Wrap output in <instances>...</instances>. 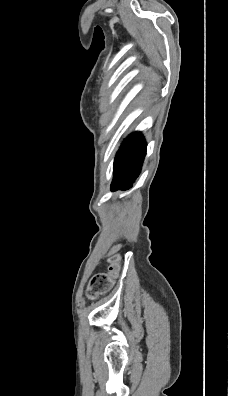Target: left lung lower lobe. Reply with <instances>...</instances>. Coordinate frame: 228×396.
I'll return each instance as SVG.
<instances>
[{
  "label": "left lung lower lobe",
  "instance_id": "left-lung-lower-lobe-1",
  "mask_svg": "<svg viewBox=\"0 0 228 396\" xmlns=\"http://www.w3.org/2000/svg\"><path fill=\"white\" fill-rule=\"evenodd\" d=\"M146 155V143L140 132L128 136L114 160V178L111 190L129 189L139 175Z\"/></svg>",
  "mask_w": 228,
  "mask_h": 396
}]
</instances>
